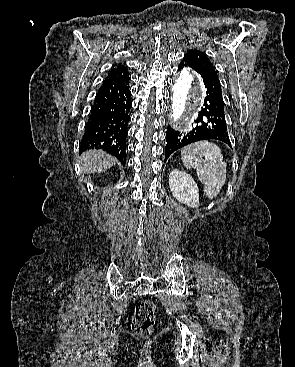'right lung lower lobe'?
I'll list each match as a JSON object with an SVG mask.
<instances>
[{"label": "right lung lower lobe", "instance_id": "obj_1", "mask_svg": "<svg viewBox=\"0 0 295 367\" xmlns=\"http://www.w3.org/2000/svg\"><path fill=\"white\" fill-rule=\"evenodd\" d=\"M129 80L104 81L94 101L79 151L102 149L124 165L132 107Z\"/></svg>", "mask_w": 295, "mask_h": 367}]
</instances>
